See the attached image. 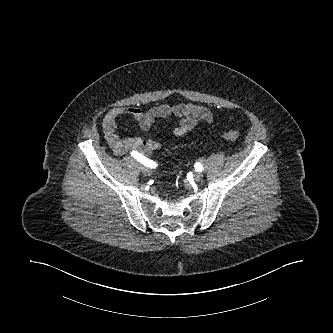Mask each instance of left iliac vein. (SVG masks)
I'll return each mask as SVG.
<instances>
[{
	"label": "left iliac vein",
	"instance_id": "left-iliac-vein-1",
	"mask_svg": "<svg viewBox=\"0 0 333 333\" xmlns=\"http://www.w3.org/2000/svg\"><path fill=\"white\" fill-rule=\"evenodd\" d=\"M203 178V174L201 172H194V180L197 182H200Z\"/></svg>",
	"mask_w": 333,
	"mask_h": 333
}]
</instances>
